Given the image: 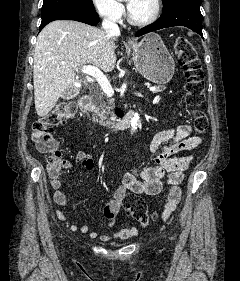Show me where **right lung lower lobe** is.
<instances>
[{"instance_id":"obj_1","label":"right lung lower lobe","mask_w":240,"mask_h":281,"mask_svg":"<svg viewBox=\"0 0 240 281\" xmlns=\"http://www.w3.org/2000/svg\"><path fill=\"white\" fill-rule=\"evenodd\" d=\"M54 20H75L95 26L99 22V16L98 14H85L69 10L57 11L42 18L40 30Z\"/></svg>"}]
</instances>
